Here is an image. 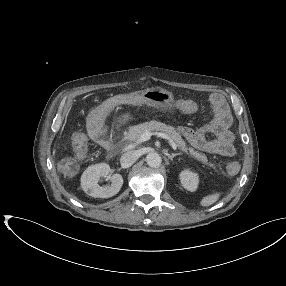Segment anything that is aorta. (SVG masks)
Instances as JSON below:
<instances>
[{
	"label": "aorta",
	"instance_id": "aorta-1",
	"mask_svg": "<svg viewBox=\"0 0 286 286\" xmlns=\"http://www.w3.org/2000/svg\"><path fill=\"white\" fill-rule=\"evenodd\" d=\"M146 162L148 166L152 168H157L161 165L162 158L158 153L151 152L146 156Z\"/></svg>",
	"mask_w": 286,
	"mask_h": 286
}]
</instances>
